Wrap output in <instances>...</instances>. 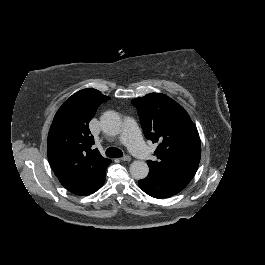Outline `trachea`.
<instances>
[{
	"instance_id": "1",
	"label": "trachea",
	"mask_w": 265,
	"mask_h": 265,
	"mask_svg": "<svg viewBox=\"0 0 265 265\" xmlns=\"http://www.w3.org/2000/svg\"><path fill=\"white\" fill-rule=\"evenodd\" d=\"M106 155L110 158H120L122 157V151L115 147H110L106 150Z\"/></svg>"
}]
</instances>
